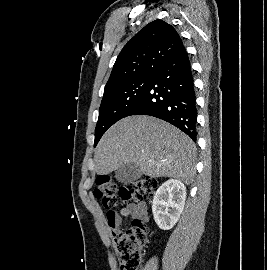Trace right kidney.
Here are the masks:
<instances>
[{
	"mask_svg": "<svg viewBox=\"0 0 267 270\" xmlns=\"http://www.w3.org/2000/svg\"><path fill=\"white\" fill-rule=\"evenodd\" d=\"M186 187L176 179L164 182L156 191L152 212L154 220L162 230H169L177 223L184 209Z\"/></svg>",
	"mask_w": 267,
	"mask_h": 270,
	"instance_id": "obj_1",
	"label": "right kidney"
}]
</instances>
